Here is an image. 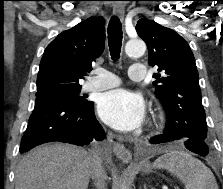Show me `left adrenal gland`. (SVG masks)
<instances>
[{
    "mask_svg": "<svg viewBox=\"0 0 223 189\" xmlns=\"http://www.w3.org/2000/svg\"><path fill=\"white\" fill-rule=\"evenodd\" d=\"M144 189H148L147 186H146V184H144ZM152 189H154V188H152Z\"/></svg>",
    "mask_w": 223,
    "mask_h": 189,
    "instance_id": "1",
    "label": "left adrenal gland"
}]
</instances>
